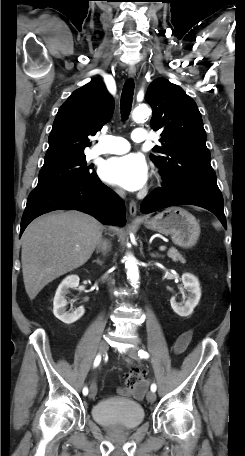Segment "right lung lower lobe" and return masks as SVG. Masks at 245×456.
<instances>
[{"mask_svg":"<svg viewBox=\"0 0 245 456\" xmlns=\"http://www.w3.org/2000/svg\"><path fill=\"white\" fill-rule=\"evenodd\" d=\"M58 209H76L104 224L123 225L126 222L125 204L96 176L88 181L35 188L27 200L20 234L36 217Z\"/></svg>","mask_w":245,"mask_h":456,"instance_id":"98d812e1","label":"right lung lower lobe"}]
</instances>
